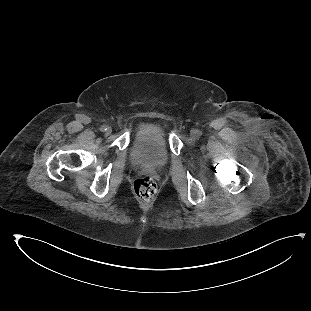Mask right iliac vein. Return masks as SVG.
<instances>
[{"label":"right iliac vein","instance_id":"obj_1","mask_svg":"<svg viewBox=\"0 0 311 311\" xmlns=\"http://www.w3.org/2000/svg\"><path fill=\"white\" fill-rule=\"evenodd\" d=\"M111 132H112V129H111L110 127H108V128L106 129V134L109 135V134H111Z\"/></svg>","mask_w":311,"mask_h":311}]
</instances>
